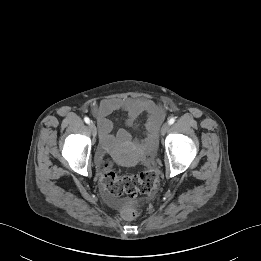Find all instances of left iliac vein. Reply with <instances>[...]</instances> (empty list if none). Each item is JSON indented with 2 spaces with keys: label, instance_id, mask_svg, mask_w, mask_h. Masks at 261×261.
Wrapping results in <instances>:
<instances>
[{
  "label": "left iliac vein",
  "instance_id": "1",
  "mask_svg": "<svg viewBox=\"0 0 261 261\" xmlns=\"http://www.w3.org/2000/svg\"><path fill=\"white\" fill-rule=\"evenodd\" d=\"M169 129H170V124L168 122L164 123L161 128V134L164 135L169 131Z\"/></svg>",
  "mask_w": 261,
  "mask_h": 261
}]
</instances>
